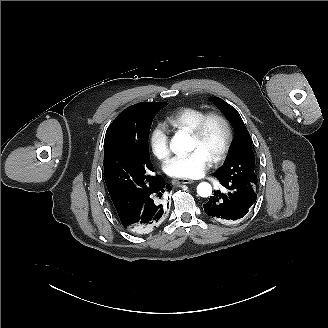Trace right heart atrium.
Returning <instances> with one entry per match:
<instances>
[{"label": "right heart atrium", "instance_id": "d8ad5b80", "mask_svg": "<svg viewBox=\"0 0 328 328\" xmlns=\"http://www.w3.org/2000/svg\"><path fill=\"white\" fill-rule=\"evenodd\" d=\"M148 145L150 152L160 160H165L171 154L169 132L163 122L157 121L152 124L148 136Z\"/></svg>", "mask_w": 328, "mask_h": 328}]
</instances>
